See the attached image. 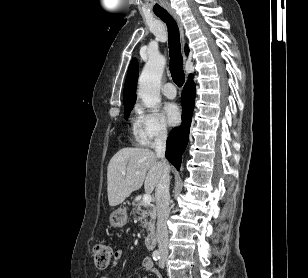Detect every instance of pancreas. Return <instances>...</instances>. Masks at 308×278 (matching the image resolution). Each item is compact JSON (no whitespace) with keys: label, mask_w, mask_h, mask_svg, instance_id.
<instances>
[{"label":"pancreas","mask_w":308,"mask_h":278,"mask_svg":"<svg viewBox=\"0 0 308 278\" xmlns=\"http://www.w3.org/2000/svg\"><path fill=\"white\" fill-rule=\"evenodd\" d=\"M136 212L140 214L141 225L150 232L155 230L156 208L153 204L144 203L143 200L133 202ZM144 208V209H143Z\"/></svg>","instance_id":"cf45deb5"}]
</instances>
